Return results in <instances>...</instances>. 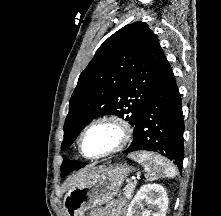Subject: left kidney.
I'll return each mask as SVG.
<instances>
[{"instance_id": "left-kidney-1", "label": "left kidney", "mask_w": 221, "mask_h": 216, "mask_svg": "<svg viewBox=\"0 0 221 216\" xmlns=\"http://www.w3.org/2000/svg\"><path fill=\"white\" fill-rule=\"evenodd\" d=\"M144 203L154 211L144 209ZM167 209L168 196L164 187L159 184H147L140 188L129 204L126 216H166Z\"/></svg>"}]
</instances>
